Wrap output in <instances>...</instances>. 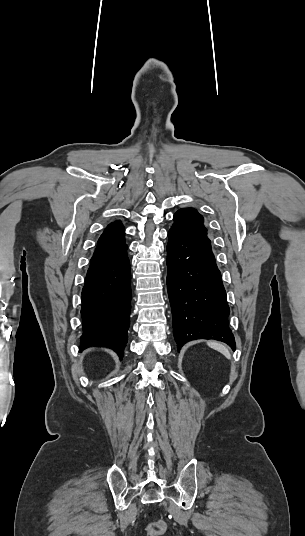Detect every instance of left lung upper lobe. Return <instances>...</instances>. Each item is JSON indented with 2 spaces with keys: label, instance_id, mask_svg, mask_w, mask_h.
I'll return each mask as SVG.
<instances>
[{
  "label": "left lung upper lobe",
  "instance_id": "left-lung-upper-lobe-1",
  "mask_svg": "<svg viewBox=\"0 0 305 536\" xmlns=\"http://www.w3.org/2000/svg\"><path fill=\"white\" fill-rule=\"evenodd\" d=\"M204 219L194 208H183L174 215L172 230H176L183 235L206 242H210L207 237V229L203 225Z\"/></svg>",
  "mask_w": 305,
  "mask_h": 536
}]
</instances>
